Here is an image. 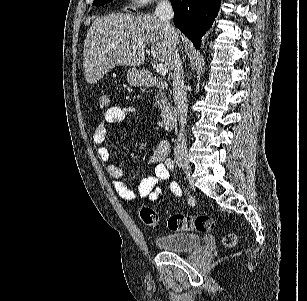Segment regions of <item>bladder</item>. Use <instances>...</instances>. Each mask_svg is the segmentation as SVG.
I'll return each mask as SVG.
<instances>
[{
	"mask_svg": "<svg viewBox=\"0 0 307 301\" xmlns=\"http://www.w3.org/2000/svg\"><path fill=\"white\" fill-rule=\"evenodd\" d=\"M203 241L197 234L192 232H174L166 235H156L155 244L160 251H189L193 246H199Z\"/></svg>",
	"mask_w": 307,
	"mask_h": 301,
	"instance_id": "bladder-1",
	"label": "bladder"
}]
</instances>
